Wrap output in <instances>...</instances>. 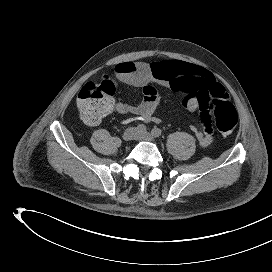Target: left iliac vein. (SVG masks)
Returning <instances> with one entry per match:
<instances>
[{
  "mask_svg": "<svg viewBox=\"0 0 272 272\" xmlns=\"http://www.w3.org/2000/svg\"><path fill=\"white\" fill-rule=\"evenodd\" d=\"M136 139L139 140H145V141H149V142H153L154 141V137L152 134H150L149 132H139L137 133Z\"/></svg>",
  "mask_w": 272,
  "mask_h": 272,
  "instance_id": "obj_1",
  "label": "left iliac vein"
}]
</instances>
